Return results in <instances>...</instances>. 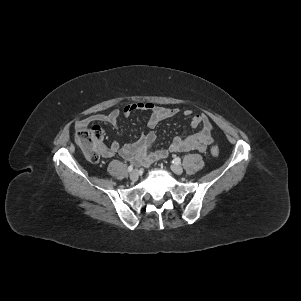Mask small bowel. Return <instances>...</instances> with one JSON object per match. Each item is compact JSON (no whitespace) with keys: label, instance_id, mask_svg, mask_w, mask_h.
<instances>
[{"label":"small bowel","instance_id":"small-bowel-1","mask_svg":"<svg viewBox=\"0 0 301 301\" xmlns=\"http://www.w3.org/2000/svg\"><path fill=\"white\" fill-rule=\"evenodd\" d=\"M135 111H145L150 113L148 126L150 128L157 127L162 121L176 116L180 111L177 108H168L155 105L151 102H136L126 105L122 111L118 108L111 110L109 113H96L82 119L76 123V129L87 126L93 122L108 123L117 128L120 123L121 113L128 116ZM183 115L190 118V126L192 129L200 127V130L186 137H175L168 149H159L151 151L150 148L156 139L154 132L143 134L138 141L134 143H126L120 145L117 141H113L109 146L102 147V155L112 157L121 156L125 160L135 161L141 165H149L152 162L166 158L169 153L186 152L197 150L204 152L212 143V124L208 117L204 114L194 113L187 109L183 111Z\"/></svg>","mask_w":301,"mask_h":301}]
</instances>
